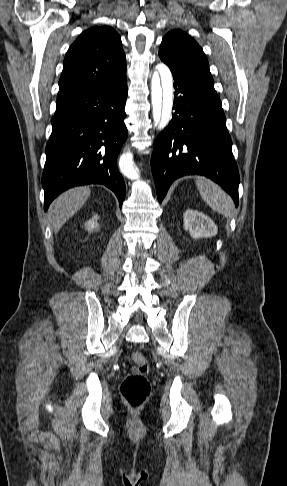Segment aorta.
<instances>
[{
	"label": "aorta",
	"instance_id": "762f6f07",
	"mask_svg": "<svg viewBox=\"0 0 287 486\" xmlns=\"http://www.w3.org/2000/svg\"><path fill=\"white\" fill-rule=\"evenodd\" d=\"M151 103L154 122L159 129H164L171 120L173 107V78L166 65H161L158 71L153 73ZM120 169L127 178L138 179L137 169L132 163L130 154L121 161Z\"/></svg>",
	"mask_w": 287,
	"mask_h": 486
}]
</instances>
